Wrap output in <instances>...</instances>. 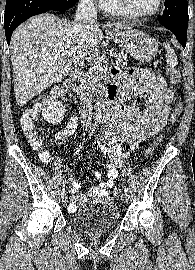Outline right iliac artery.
I'll list each match as a JSON object with an SVG mask.
<instances>
[{
    "instance_id": "1",
    "label": "right iliac artery",
    "mask_w": 195,
    "mask_h": 270,
    "mask_svg": "<svg viewBox=\"0 0 195 270\" xmlns=\"http://www.w3.org/2000/svg\"><path fill=\"white\" fill-rule=\"evenodd\" d=\"M91 131H92V132L89 134V136H92L93 131H95V127H92V130H91ZM65 185H66V180L63 181V187H65ZM63 190H64V188H63Z\"/></svg>"
}]
</instances>
